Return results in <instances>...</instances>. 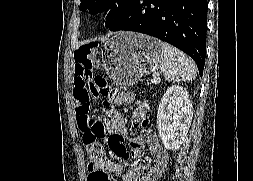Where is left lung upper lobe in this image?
<instances>
[{
    "mask_svg": "<svg viewBox=\"0 0 253 181\" xmlns=\"http://www.w3.org/2000/svg\"><path fill=\"white\" fill-rule=\"evenodd\" d=\"M134 0H81L80 10L89 9L96 14L110 9L106 16V27L111 28L119 23L130 10Z\"/></svg>",
    "mask_w": 253,
    "mask_h": 181,
    "instance_id": "1",
    "label": "left lung upper lobe"
}]
</instances>
